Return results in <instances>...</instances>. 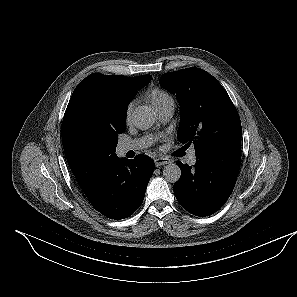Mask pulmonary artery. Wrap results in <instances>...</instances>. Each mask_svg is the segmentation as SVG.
Listing matches in <instances>:
<instances>
[{
  "label": "pulmonary artery",
  "mask_w": 297,
  "mask_h": 297,
  "mask_svg": "<svg viewBox=\"0 0 297 297\" xmlns=\"http://www.w3.org/2000/svg\"><path fill=\"white\" fill-rule=\"evenodd\" d=\"M159 119L162 122H167L173 116L175 111V103L172 98L166 100L160 106L156 108ZM151 143L150 138H139L133 140H127L119 145V151L121 153H127L128 151H139L148 147ZM188 162L194 164L196 162L195 149H191L188 155Z\"/></svg>",
  "instance_id": "e3ab8cb5"
}]
</instances>
